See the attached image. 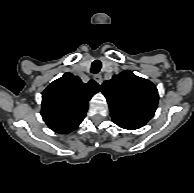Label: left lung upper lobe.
<instances>
[{
  "label": "left lung upper lobe",
  "instance_id": "left-lung-upper-lobe-1",
  "mask_svg": "<svg viewBox=\"0 0 194 193\" xmlns=\"http://www.w3.org/2000/svg\"><path fill=\"white\" fill-rule=\"evenodd\" d=\"M114 122L144 126L154 115L159 95L156 86L129 70L102 84Z\"/></svg>",
  "mask_w": 194,
  "mask_h": 193
}]
</instances>
